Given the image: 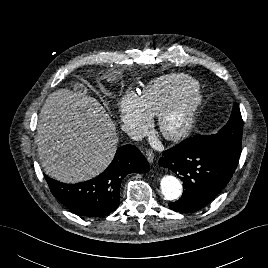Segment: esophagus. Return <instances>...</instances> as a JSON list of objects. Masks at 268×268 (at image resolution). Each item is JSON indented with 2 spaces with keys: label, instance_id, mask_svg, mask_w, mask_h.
Instances as JSON below:
<instances>
[{
  "label": "esophagus",
  "instance_id": "34e87169",
  "mask_svg": "<svg viewBox=\"0 0 268 268\" xmlns=\"http://www.w3.org/2000/svg\"><path fill=\"white\" fill-rule=\"evenodd\" d=\"M146 159L149 163L154 161V153L151 150L146 151Z\"/></svg>",
  "mask_w": 268,
  "mask_h": 268
}]
</instances>
